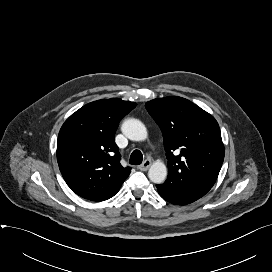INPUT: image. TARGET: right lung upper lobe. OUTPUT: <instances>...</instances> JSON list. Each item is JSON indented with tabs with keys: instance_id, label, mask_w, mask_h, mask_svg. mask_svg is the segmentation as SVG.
<instances>
[{
	"instance_id": "right-lung-upper-lobe-1",
	"label": "right lung upper lobe",
	"mask_w": 272,
	"mask_h": 272,
	"mask_svg": "<svg viewBox=\"0 0 272 272\" xmlns=\"http://www.w3.org/2000/svg\"><path fill=\"white\" fill-rule=\"evenodd\" d=\"M135 106L118 98L98 100L65 121L58 135L57 161L74 193L99 202L119 191L131 168L121 166L114 135L120 120Z\"/></svg>"
}]
</instances>
